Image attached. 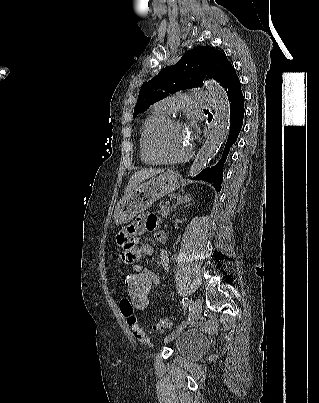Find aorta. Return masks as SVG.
<instances>
[{
    "label": "aorta",
    "mask_w": 319,
    "mask_h": 403,
    "mask_svg": "<svg viewBox=\"0 0 319 403\" xmlns=\"http://www.w3.org/2000/svg\"><path fill=\"white\" fill-rule=\"evenodd\" d=\"M206 85L215 105L214 124L190 167L191 177L196 176L215 156L225 141L230 126V103L226 91L214 80L208 81Z\"/></svg>",
    "instance_id": "762f6f07"
}]
</instances>
